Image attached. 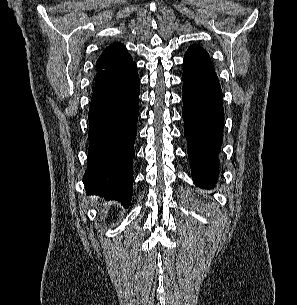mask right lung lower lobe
<instances>
[{"label":"right lung lower lobe","instance_id":"1","mask_svg":"<svg viewBox=\"0 0 297 305\" xmlns=\"http://www.w3.org/2000/svg\"><path fill=\"white\" fill-rule=\"evenodd\" d=\"M139 84L135 63L95 83L88 115V165L83 182L89 192L121 201L126 207L132 196Z\"/></svg>","mask_w":297,"mask_h":305}]
</instances>
